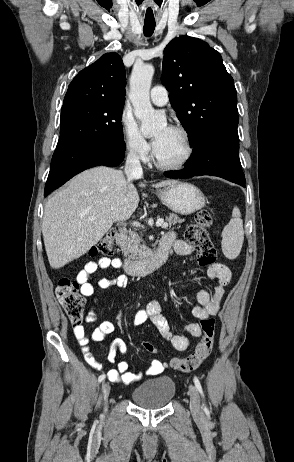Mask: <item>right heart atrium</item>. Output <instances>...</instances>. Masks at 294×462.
Returning <instances> with one entry per match:
<instances>
[{
	"instance_id": "right-heart-atrium-1",
	"label": "right heart atrium",
	"mask_w": 294,
	"mask_h": 462,
	"mask_svg": "<svg viewBox=\"0 0 294 462\" xmlns=\"http://www.w3.org/2000/svg\"><path fill=\"white\" fill-rule=\"evenodd\" d=\"M119 122L126 151L140 161H147L151 153L150 145L127 109L122 111Z\"/></svg>"
}]
</instances>
